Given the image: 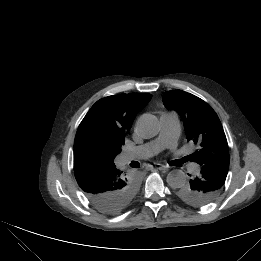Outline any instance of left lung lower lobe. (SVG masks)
Wrapping results in <instances>:
<instances>
[{
  "mask_svg": "<svg viewBox=\"0 0 261 261\" xmlns=\"http://www.w3.org/2000/svg\"><path fill=\"white\" fill-rule=\"evenodd\" d=\"M227 173L228 167L221 165H204L201 166L200 174L185 183V185L192 191L205 195L207 198L205 199L204 205H206L219 195L221 187L225 183Z\"/></svg>",
  "mask_w": 261,
  "mask_h": 261,
  "instance_id": "left-lung-lower-lobe-1",
  "label": "left lung lower lobe"
}]
</instances>
